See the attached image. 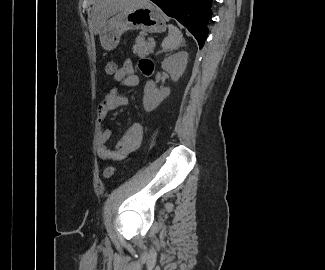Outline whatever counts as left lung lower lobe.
Segmentation results:
<instances>
[{
    "label": "left lung lower lobe",
    "mask_w": 325,
    "mask_h": 270,
    "mask_svg": "<svg viewBox=\"0 0 325 270\" xmlns=\"http://www.w3.org/2000/svg\"><path fill=\"white\" fill-rule=\"evenodd\" d=\"M163 12L178 20L196 38L202 48L207 38V21L211 16L212 0H151Z\"/></svg>",
    "instance_id": "left-lung-lower-lobe-1"
}]
</instances>
